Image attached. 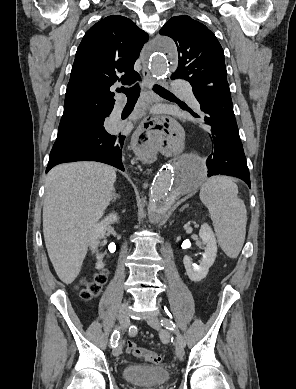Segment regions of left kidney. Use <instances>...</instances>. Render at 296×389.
Returning <instances> with one entry per match:
<instances>
[{"instance_id":"obj_1","label":"left kidney","mask_w":296,"mask_h":389,"mask_svg":"<svg viewBox=\"0 0 296 389\" xmlns=\"http://www.w3.org/2000/svg\"><path fill=\"white\" fill-rule=\"evenodd\" d=\"M199 237L205 245L203 258L200 260L199 265L194 264L188 255H185L183 258L186 273L193 282H199L207 276L209 268L213 265L217 256L216 238L208 224L204 223L201 226Z\"/></svg>"}]
</instances>
